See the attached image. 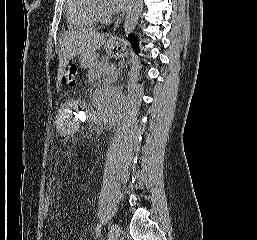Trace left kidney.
<instances>
[{"instance_id": "1", "label": "left kidney", "mask_w": 257, "mask_h": 240, "mask_svg": "<svg viewBox=\"0 0 257 240\" xmlns=\"http://www.w3.org/2000/svg\"><path fill=\"white\" fill-rule=\"evenodd\" d=\"M104 101L109 114L115 116L121 111L122 105H125L126 98L117 87H112L105 93Z\"/></svg>"}]
</instances>
